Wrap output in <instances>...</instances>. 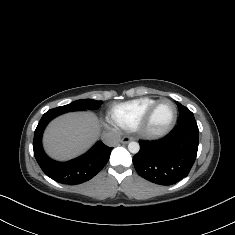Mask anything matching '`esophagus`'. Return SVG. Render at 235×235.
Returning <instances> with one entry per match:
<instances>
[{
	"label": "esophagus",
	"instance_id": "obj_1",
	"mask_svg": "<svg viewBox=\"0 0 235 235\" xmlns=\"http://www.w3.org/2000/svg\"><path fill=\"white\" fill-rule=\"evenodd\" d=\"M133 140H134V138L131 137V136H124V137L120 140V142H121L122 144H127V143H129V142H131V141H133Z\"/></svg>",
	"mask_w": 235,
	"mask_h": 235
}]
</instances>
